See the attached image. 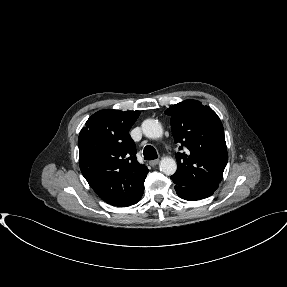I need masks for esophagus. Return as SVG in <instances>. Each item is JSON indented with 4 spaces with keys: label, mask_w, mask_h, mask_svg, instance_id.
<instances>
[{
    "label": "esophagus",
    "mask_w": 287,
    "mask_h": 287,
    "mask_svg": "<svg viewBox=\"0 0 287 287\" xmlns=\"http://www.w3.org/2000/svg\"><path fill=\"white\" fill-rule=\"evenodd\" d=\"M159 163V159L149 161L150 166L154 167Z\"/></svg>",
    "instance_id": "34e87169"
}]
</instances>
